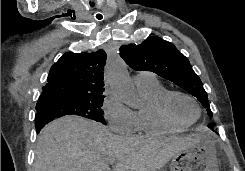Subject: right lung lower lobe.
<instances>
[{
    "instance_id": "obj_1",
    "label": "right lung lower lobe",
    "mask_w": 245,
    "mask_h": 171,
    "mask_svg": "<svg viewBox=\"0 0 245 171\" xmlns=\"http://www.w3.org/2000/svg\"><path fill=\"white\" fill-rule=\"evenodd\" d=\"M55 118L50 117L44 113H37L35 116V125H36V132L39 133L40 130L50 121L54 120Z\"/></svg>"
}]
</instances>
